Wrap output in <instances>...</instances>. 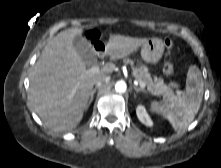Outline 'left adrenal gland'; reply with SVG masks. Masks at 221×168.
Instances as JSON below:
<instances>
[{
	"label": "left adrenal gland",
	"instance_id": "1",
	"mask_svg": "<svg viewBox=\"0 0 221 168\" xmlns=\"http://www.w3.org/2000/svg\"><path fill=\"white\" fill-rule=\"evenodd\" d=\"M133 88H134V90H135L136 93H138V92H146V90L143 89V88H138V87H136V86H133Z\"/></svg>",
	"mask_w": 221,
	"mask_h": 168
}]
</instances>
